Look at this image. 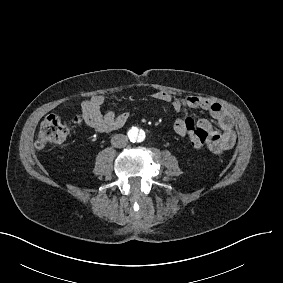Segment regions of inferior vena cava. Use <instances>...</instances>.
Wrapping results in <instances>:
<instances>
[{
  "label": "inferior vena cava",
  "mask_w": 283,
  "mask_h": 283,
  "mask_svg": "<svg viewBox=\"0 0 283 283\" xmlns=\"http://www.w3.org/2000/svg\"><path fill=\"white\" fill-rule=\"evenodd\" d=\"M128 143V137L123 134H116L111 138V145L114 148H124Z\"/></svg>",
  "instance_id": "1"
}]
</instances>
